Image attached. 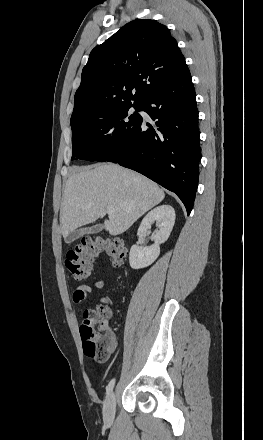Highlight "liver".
Here are the masks:
<instances>
[{
  "mask_svg": "<svg viewBox=\"0 0 263 440\" xmlns=\"http://www.w3.org/2000/svg\"><path fill=\"white\" fill-rule=\"evenodd\" d=\"M164 197L156 183L119 165L77 168L63 191L61 233L66 238L77 228L103 218L112 205L115 210L103 228L113 236L122 234Z\"/></svg>",
  "mask_w": 263,
  "mask_h": 440,
  "instance_id": "6515ba94",
  "label": "liver"
}]
</instances>
